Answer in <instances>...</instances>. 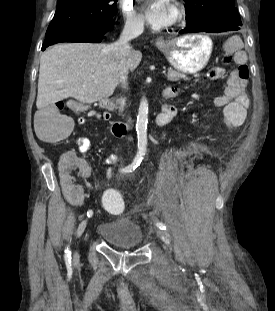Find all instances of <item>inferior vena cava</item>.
Here are the masks:
<instances>
[{"mask_svg":"<svg viewBox=\"0 0 275 311\" xmlns=\"http://www.w3.org/2000/svg\"><path fill=\"white\" fill-rule=\"evenodd\" d=\"M144 31V22L141 20L127 21L118 41L110 45V50L118 59L120 70V83L123 88H126L128 79V68L126 60L131 53L132 48L129 41L138 37ZM131 119H129V122Z\"/></svg>","mask_w":275,"mask_h":311,"instance_id":"1","label":"inferior vena cava"}]
</instances>
